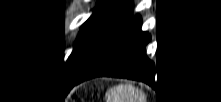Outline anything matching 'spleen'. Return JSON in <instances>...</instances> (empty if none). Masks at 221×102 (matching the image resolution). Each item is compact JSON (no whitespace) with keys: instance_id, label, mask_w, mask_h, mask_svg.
<instances>
[{"instance_id":"spleen-1","label":"spleen","mask_w":221,"mask_h":102,"mask_svg":"<svg viewBox=\"0 0 221 102\" xmlns=\"http://www.w3.org/2000/svg\"><path fill=\"white\" fill-rule=\"evenodd\" d=\"M107 102H142L143 92L128 84H120L106 93Z\"/></svg>"}]
</instances>
